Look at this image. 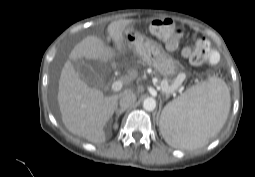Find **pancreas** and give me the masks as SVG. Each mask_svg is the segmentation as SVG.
Returning <instances> with one entry per match:
<instances>
[{
    "instance_id": "1",
    "label": "pancreas",
    "mask_w": 255,
    "mask_h": 177,
    "mask_svg": "<svg viewBox=\"0 0 255 177\" xmlns=\"http://www.w3.org/2000/svg\"><path fill=\"white\" fill-rule=\"evenodd\" d=\"M166 86H174V85H173V82H172V85H169V81L167 79H164L161 82V88L166 87Z\"/></svg>"
}]
</instances>
